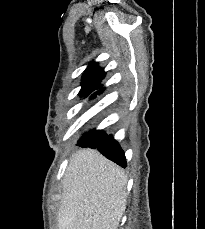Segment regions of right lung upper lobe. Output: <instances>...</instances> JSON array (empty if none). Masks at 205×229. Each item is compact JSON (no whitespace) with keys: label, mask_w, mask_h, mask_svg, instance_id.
I'll return each instance as SVG.
<instances>
[{"label":"right lung upper lobe","mask_w":205,"mask_h":229,"mask_svg":"<svg viewBox=\"0 0 205 229\" xmlns=\"http://www.w3.org/2000/svg\"><path fill=\"white\" fill-rule=\"evenodd\" d=\"M104 75V70L99 68L97 66V63H91L87 67L82 77V89L79 95L85 96L94 91L95 89H98L101 86L100 81L104 77Z\"/></svg>","instance_id":"cb5924a9"}]
</instances>
